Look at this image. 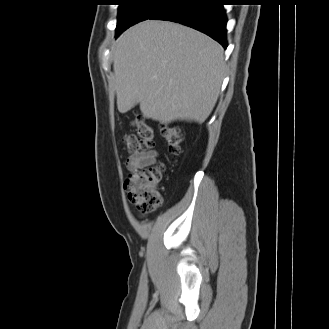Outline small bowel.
<instances>
[{
    "label": "small bowel",
    "mask_w": 329,
    "mask_h": 329,
    "mask_svg": "<svg viewBox=\"0 0 329 329\" xmlns=\"http://www.w3.org/2000/svg\"><path fill=\"white\" fill-rule=\"evenodd\" d=\"M156 158L157 152L154 150L133 153L127 158L126 167L129 171H134L135 169L154 164ZM141 215H146V213L142 212Z\"/></svg>",
    "instance_id": "1"
}]
</instances>
